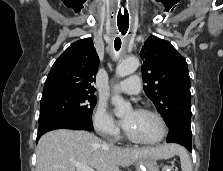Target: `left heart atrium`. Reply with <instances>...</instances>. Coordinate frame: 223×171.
I'll use <instances>...</instances> for the list:
<instances>
[{"label": "left heart atrium", "mask_w": 223, "mask_h": 171, "mask_svg": "<svg viewBox=\"0 0 223 171\" xmlns=\"http://www.w3.org/2000/svg\"><path fill=\"white\" fill-rule=\"evenodd\" d=\"M122 125H123V127L126 129V127H127V125H128V119H124V120L122 121Z\"/></svg>", "instance_id": "obj_1"}]
</instances>
